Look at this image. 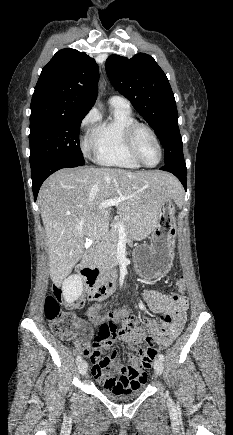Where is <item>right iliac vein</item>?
<instances>
[{
	"mask_svg": "<svg viewBox=\"0 0 233 435\" xmlns=\"http://www.w3.org/2000/svg\"><path fill=\"white\" fill-rule=\"evenodd\" d=\"M87 368H88V365H87V362H86V361H81V362L78 364V370H79L80 374H82V375H85V374H86V372H87Z\"/></svg>",
	"mask_w": 233,
	"mask_h": 435,
	"instance_id": "1",
	"label": "right iliac vein"
}]
</instances>
